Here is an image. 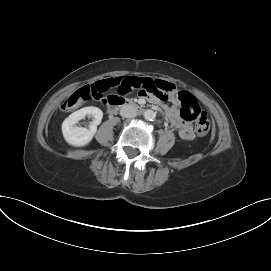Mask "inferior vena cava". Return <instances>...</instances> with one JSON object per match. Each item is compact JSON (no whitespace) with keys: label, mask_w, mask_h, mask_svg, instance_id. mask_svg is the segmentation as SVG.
<instances>
[{"label":"inferior vena cava","mask_w":271,"mask_h":271,"mask_svg":"<svg viewBox=\"0 0 271 271\" xmlns=\"http://www.w3.org/2000/svg\"><path fill=\"white\" fill-rule=\"evenodd\" d=\"M120 115L125 118H133L137 115V112L133 106L126 104L121 107Z\"/></svg>","instance_id":"1"}]
</instances>
